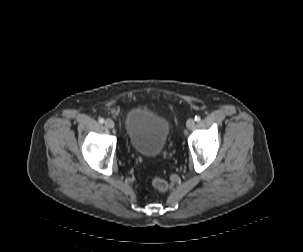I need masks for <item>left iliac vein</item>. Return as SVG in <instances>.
<instances>
[{
	"label": "left iliac vein",
	"mask_w": 303,
	"mask_h": 252,
	"mask_svg": "<svg viewBox=\"0 0 303 252\" xmlns=\"http://www.w3.org/2000/svg\"><path fill=\"white\" fill-rule=\"evenodd\" d=\"M195 120L193 119V118H190V119H188L187 120V123H186V125H187V128L189 129V130H191V129H193L194 127H195Z\"/></svg>",
	"instance_id": "4c4485c4"
}]
</instances>
